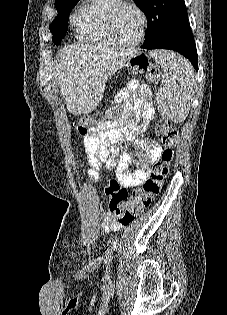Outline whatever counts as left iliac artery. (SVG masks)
Wrapping results in <instances>:
<instances>
[{
    "mask_svg": "<svg viewBox=\"0 0 227 315\" xmlns=\"http://www.w3.org/2000/svg\"><path fill=\"white\" fill-rule=\"evenodd\" d=\"M117 246H118V240L115 239V240H113V242H112V249H116Z\"/></svg>",
    "mask_w": 227,
    "mask_h": 315,
    "instance_id": "obj_1",
    "label": "left iliac artery"
}]
</instances>
